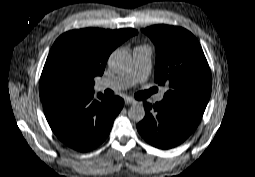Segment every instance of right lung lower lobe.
Masks as SVG:
<instances>
[{
  "mask_svg": "<svg viewBox=\"0 0 255 177\" xmlns=\"http://www.w3.org/2000/svg\"><path fill=\"white\" fill-rule=\"evenodd\" d=\"M88 92L74 97L43 102L46 119L55 135L67 146L89 151L109 135L124 100Z\"/></svg>",
  "mask_w": 255,
  "mask_h": 177,
  "instance_id": "1",
  "label": "right lung lower lobe"
}]
</instances>
